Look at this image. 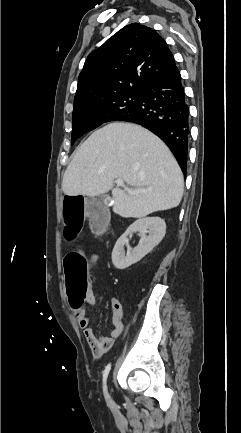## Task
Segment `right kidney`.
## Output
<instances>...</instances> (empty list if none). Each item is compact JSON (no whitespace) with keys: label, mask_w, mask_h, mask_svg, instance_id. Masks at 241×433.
I'll return each instance as SVG.
<instances>
[{"label":"right kidney","mask_w":241,"mask_h":433,"mask_svg":"<svg viewBox=\"0 0 241 433\" xmlns=\"http://www.w3.org/2000/svg\"><path fill=\"white\" fill-rule=\"evenodd\" d=\"M136 232L139 233L141 241L138 246L125 255L123 247L128 242L127 237ZM165 233L166 223L160 217H146L136 220L117 240L112 251L113 265L115 268L123 270L140 261L161 242Z\"/></svg>","instance_id":"obj_1"}]
</instances>
